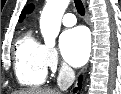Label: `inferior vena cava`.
<instances>
[{
    "instance_id": "obj_1",
    "label": "inferior vena cava",
    "mask_w": 121,
    "mask_h": 94,
    "mask_svg": "<svg viewBox=\"0 0 121 94\" xmlns=\"http://www.w3.org/2000/svg\"><path fill=\"white\" fill-rule=\"evenodd\" d=\"M74 80V70L68 66H64L61 68L57 78V85L61 91H67V89L73 84Z\"/></svg>"
}]
</instances>
